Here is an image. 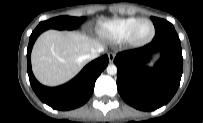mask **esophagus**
I'll list each match as a JSON object with an SVG mask.
<instances>
[{"label":"esophagus","instance_id":"esophagus-1","mask_svg":"<svg viewBox=\"0 0 203 123\" xmlns=\"http://www.w3.org/2000/svg\"><path fill=\"white\" fill-rule=\"evenodd\" d=\"M114 58H115V54H114V53H109V54H108V59H109V62H110V63H113Z\"/></svg>","mask_w":203,"mask_h":123}]
</instances>
